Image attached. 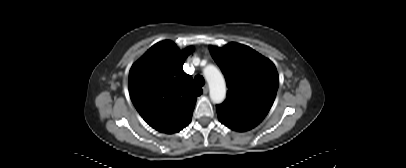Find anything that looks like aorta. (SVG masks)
Wrapping results in <instances>:
<instances>
[{"mask_svg":"<svg viewBox=\"0 0 406 168\" xmlns=\"http://www.w3.org/2000/svg\"><path fill=\"white\" fill-rule=\"evenodd\" d=\"M210 89L211 101L222 103L226 97V83L222 73L214 65H208L203 70Z\"/></svg>","mask_w":406,"mask_h":168,"instance_id":"762f6f07","label":"aorta"}]
</instances>
